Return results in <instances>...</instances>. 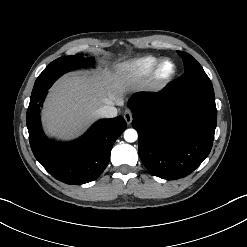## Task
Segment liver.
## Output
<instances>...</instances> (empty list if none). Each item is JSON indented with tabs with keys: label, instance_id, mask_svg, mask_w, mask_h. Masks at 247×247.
Listing matches in <instances>:
<instances>
[{
	"label": "liver",
	"instance_id": "obj_1",
	"mask_svg": "<svg viewBox=\"0 0 247 247\" xmlns=\"http://www.w3.org/2000/svg\"><path fill=\"white\" fill-rule=\"evenodd\" d=\"M127 78L120 71L82 72L59 80L44 105L42 121L50 136H78L99 115L104 105H121Z\"/></svg>",
	"mask_w": 247,
	"mask_h": 247
}]
</instances>
